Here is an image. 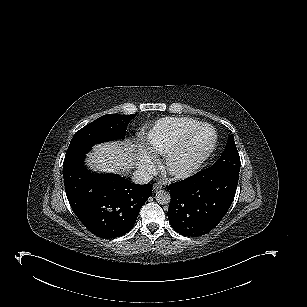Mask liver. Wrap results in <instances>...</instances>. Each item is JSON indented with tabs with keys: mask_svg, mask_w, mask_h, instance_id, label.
Masks as SVG:
<instances>
[{
	"mask_svg": "<svg viewBox=\"0 0 307 307\" xmlns=\"http://www.w3.org/2000/svg\"><path fill=\"white\" fill-rule=\"evenodd\" d=\"M134 161L132 149L126 143L98 144L87 154L86 165L94 171L125 172Z\"/></svg>",
	"mask_w": 307,
	"mask_h": 307,
	"instance_id": "liver-1",
	"label": "liver"
}]
</instances>
